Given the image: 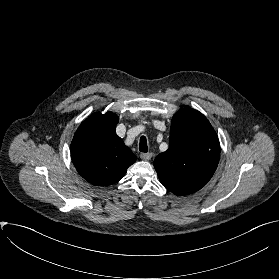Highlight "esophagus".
Listing matches in <instances>:
<instances>
[{
  "label": "esophagus",
  "instance_id": "esophagus-1",
  "mask_svg": "<svg viewBox=\"0 0 279 279\" xmlns=\"http://www.w3.org/2000/svg\"><path fill=\"white\" fill-rule=\"evenodd\" d=\"M140 158L142 160H150L152 158V153H141Z\"/></svg>",
  "mask_w": 279,
  "mask_h": 279
}]
</instances>
